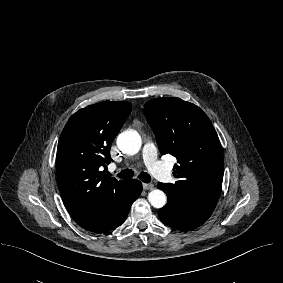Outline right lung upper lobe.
<instances>
[{
  "label": "right lung upper lobe",
  "instance_id": "1",
  "mask_svg": "<svg viewBox=\"0 0 283 283\" xmlns=\"http://www.w3.org/2000/svg\"><path fill=\"white\" fill-rule=\"evenodd\" d=\"M130 102L107 101L74 113L57 148V177L63 202L83 228L110 216L131 188V182L102 171L112 161L111 144L131 112Z\"/></svg>",
  "mask_w": 283,
  "mask_h": 283
}]
</instances>
